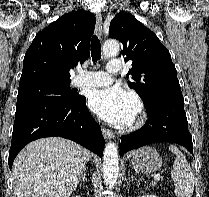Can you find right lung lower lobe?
I'll return each instance as SVG.
<instances>
[{"label":"right lung lower lobe","mask_w":209,"mask_h":197,"mask_svg":"<svg viewBox=\"0 0 209 197\" xmlns=\"http://www.w3.org/2000/svg\"><path fill=\"white\" fill-rule=\"evenodd\" d=\"M50 136L73 140L85 148L103 155L105 140L101 128L86 107V98L69 101H49L16 109L9 150V167L20 150L29 142Z\"/></svg>","instance_id":"right-lung-lower-lobe-1"}]
</instances>
